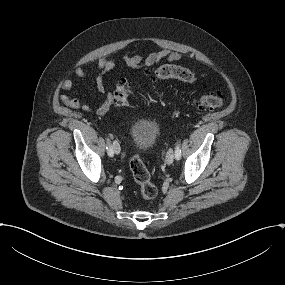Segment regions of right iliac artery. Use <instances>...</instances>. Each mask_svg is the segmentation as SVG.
Returning a JSON list of instances; mask_svg holds the SVG:
<instances>
[{
	"label": "right iliac artery",
	"instance_id": "1",
	"mask_svg": "<svg viewBox=\"0 0 285 285\" xmlns=\"http://www.w3.org/2000/svg\"><path fill=\"white\" fill-rule=\"evenodd\" d=\"M106 141H107V146H106L107 153H108L109 156H113V150H112V146H111V143H110V139L106 138Z\"/></svg>",
	"mask_w": 285,
	"mask_h": 285
}]
</instances>
